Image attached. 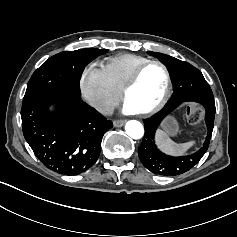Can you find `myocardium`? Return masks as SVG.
<instances>
[{"mask_svg":"<svg viewBox=\"0 0 237 237\" xmlns=\"http://www.w3.org/2000/svg\"><path fill=\"white\" fill-rule=\"evenodd\" d=\"M151 65H158L163 69L165 73V78H166V85H165V91L161 100L150 110L139 113L143 117H150L157 114L165 107V105L169 101V98L171 96V90H172V79H171V73L169 71V68L163 62L159 60H149L148 62L141 65L133 73V75L129 78V80L126 82V84L122 88V97L124 100H126L128 92L138 83L142 73Z\"/></svg>","mask_w":237,"mask_h":237,"instance_id":"f54148a6","label":"myocardium"}]
</instances>
